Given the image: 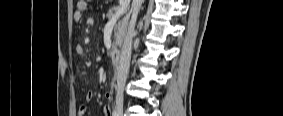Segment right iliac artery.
I'll list each match as a JSON object with an SVG mask.
<instances>
[{
  "label": "right iliac artery",
  "instance_id": "right-iliac-artery-1",
  "mask_svg": "<svg viewBox=\"0 0 283 116\" xmlns=\"http://www.w3.org/2000/svg\"><path fill=\"white\" fill-rule=\"evenodd\" d=\"M112 115H113V116H118V113H117L116 111H114V112L112 113Z\"/></svg>",
  "mask_w": 283,
  "mask_h": 116
}]
</instances>
